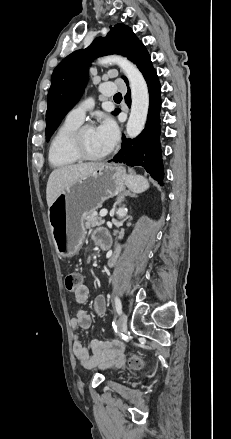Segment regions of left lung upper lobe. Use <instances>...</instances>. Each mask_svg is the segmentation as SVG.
<instances>
[{"instance_id": "5c2ea615", "label": "left lung upper lobe", "mask_w": 231, "mask_h": 439, "mask_svg": "<svg viewBox=\"0 0 231 439\" xmlns=\"http://www.w3.org/2000/svg\"><path fill=\"white\" fill-rule=\"evenodd\" d=\"M144 50L145 46L128 26L117 24L106 37H98L88 48L77 50L64 58L54 69L51 78L46 112V140L49 141L62 119L79 100L87 81L88 66L94 58L121 54L135 63ZM113 114L116 115V111Z\"/></svg>"}]
</instances>
